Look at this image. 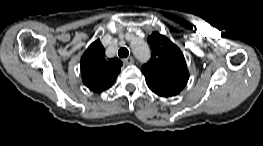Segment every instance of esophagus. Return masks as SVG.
Instances as JSON below:
<instances>
[{"label":"esophagus","instance_id":"obj_1","mask_svg":"<svg viewBox=\"0 0 263 146\" xmlns=\"http://www.w3.org/2000/svg\"><path fill=\"white\" fill-rule=\"evenodd\" d=\"M124 64H132L134 62L133 57H128V58H124L122 59Z\"/></svg>","mask_w":263,"mask_h":146}]
</instances>
